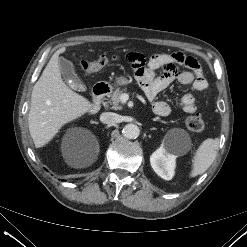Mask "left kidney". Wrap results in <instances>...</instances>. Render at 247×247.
<instances>
[{"label":"left kidney","mask_w":247,"mask_h":247,"mask_svg":"<svg viewBox=\"0 0 247 247\" xmlns=\"http://www.w3.org/2000/svg\"><path fill=\"white\" fill-rule=\"evenodd\" d=\"M176 155L171 147L161 145L150 156V163L155 173L164 180H171L175 174Z\"/></svg>","instance_id":"5707ae66"}]
</instances>
